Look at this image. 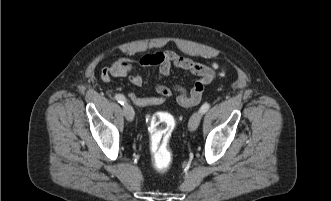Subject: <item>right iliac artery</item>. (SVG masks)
I'll return each mask as SVG.
<instances>
[{"mask_svg":"<svg viewBox=\"0 0 331 201\" xmlns=\"http://www.w3.org/2000/svg\"><path fill=\"white\" fill-rule=\"evenodd\" d=\"M115 99L118 103L124 105L126 103V98L122 94H116Z\"/></svg>","mask_w":331,"mask_h":201,"instance_id":"right-iliac-artery-1","label":"right iliac artery"}]
</instances>
